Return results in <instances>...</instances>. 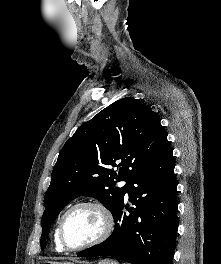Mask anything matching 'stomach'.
Listing matches in <instances>:
<instances>
[{"mask_svg":"<svg viewBox=\"0 0 221 264\" xmlns=\"http://www.w3.org/2000/svg\"><path fill=\"white\" fill-rule=\"evenodd\" d=\"M42 264H74L71 262H55V261H44ZM83 264H88V263H83ZM97 264H119L117 261L115 260H111V259H104L99 261Z\"/></svg>","mask_w":221,"mask_h":264,"instance_id":"stomach-1","label":"stomach"}]
</instances>
